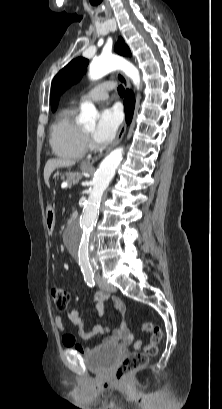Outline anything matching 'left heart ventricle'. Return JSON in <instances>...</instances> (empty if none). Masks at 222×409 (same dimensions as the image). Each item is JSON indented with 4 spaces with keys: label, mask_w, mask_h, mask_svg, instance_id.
<instances>
[{
    "label": "left heart ventricle",
    "mask_w": 222,
    "mask_h": 409,
    "mask_svg": "<svg viewBox=\"0 0 222 409\" xmlns=\"http://www.w3.org/2000/svg\"><path fill=\"white\" fill-rule=\"evenodd\" d=\"M94 129H95V125H94V124L85 126V130L89 133V135H92Z\"/></svg>",
    "instance_id": "1"
}]
</instances>
